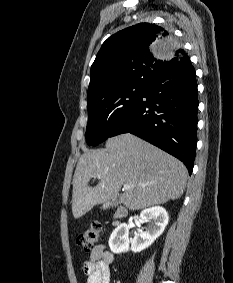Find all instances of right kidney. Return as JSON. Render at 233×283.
I'll return each mask as SVG.
<instances>
[{
	"label": "right kidney",
	"mask_w": 233,
	"mask_h": 283,
	"mask_svg": "<svg viewBox=\"0 0 233 283\" xmlns=\"http://www.w3.org/2000/svg\"><path fill=\"white\" fill-rule=\"evenodd\" d=\"M141 224L149 222V226L141 229L133 240H129L130 226L126 223L120 224L109 238V247L113 253H122L129 250L137 253L148 248L163 233L168 224V213L163 207L155 206L143 210L140 216H135ZM131 243V247L129 244Z\"/></svg>",
	"instance_id": "ca27d5eb"
}]
</instances>
